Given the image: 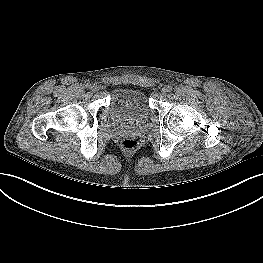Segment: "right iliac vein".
Segmentation results:
<instances>
[{"label":"right iliac vein","instance_id":"63e3f726","mask_svg":"<svg viewBox=\"0 0 263 263\" xmlns=\"http://www.w3.org/2000/svg\"><path fill=\"white\" fill-rule=\"evenodd\" d=\"M91 90H92L93 92H97V91H98V87L95 86V85H93V86L91 87Z\"/></svg>","mask_w":263,"mask_h":263}]
</instances>
